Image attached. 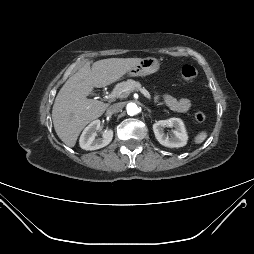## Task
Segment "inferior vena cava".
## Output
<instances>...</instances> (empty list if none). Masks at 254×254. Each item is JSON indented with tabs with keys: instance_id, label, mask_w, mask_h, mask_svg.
<instances>
[{
	"instance_id": "602c4592",
	"label": "inferior vena cava",
	"mask_w": 254,
	"mask_h": 254,
	"mask_svg": "<svg viewBox=\"0 0 254 254\" xmlns=\"http://www.w3.org/2000/svg\"><path fill=\"white\" fill-rule=\"evenodd\" d=\"M123 105L121 103H115L108 107L107 113L108 114H115L122 110Z\"/></svg>"
}]
</instances>
